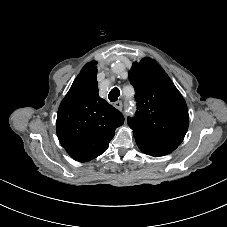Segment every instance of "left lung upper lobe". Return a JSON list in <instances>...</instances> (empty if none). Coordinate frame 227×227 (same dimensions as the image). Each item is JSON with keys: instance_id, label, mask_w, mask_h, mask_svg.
Here are the masks:
<instances>
[{"instance_id": "5c2ea615", "label": "left lung upper lobe", "mask_w": 227, "mask_h": 227, "mask_svg": "<svg viewBox=\"0 0 227 227\" xmlns=\"http://www.w3.org/2000/svg\"><path fill=\"white\" fill-rule=\"evenodd\" d=\"M129 80L135 89L137 111L128 119L130 128H144L177 145L189 125L188 108L169 76L152 59L134 62Z\"/></svg>"}]
</instances>
